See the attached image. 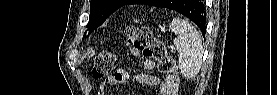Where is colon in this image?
Segmentation results:
<instances>
[{
    "label": "colon",
    "instance_id": "colon-1",
    "mask_svg": "<svg viewBox=\"0 0 277 95\" xmlns=\"http://www.w3.org/2000/svg\"><path fill=\"white\" fill-rule=\"evenodd\" d=\"M128 46L141 51L148 58L156 59L162 73L175 74L178 71L176 60L168 52L165 43L152 30L144 26H129L123 31ZM119 57L115 52H99L92 65V75L95 78L108 76L117 67Z\"/></svg>",
    "mask_w": 277,
    "mask_h": 95
}]
</instances>
